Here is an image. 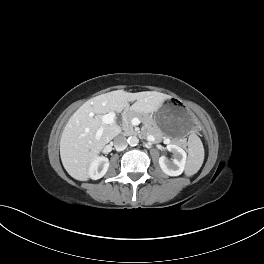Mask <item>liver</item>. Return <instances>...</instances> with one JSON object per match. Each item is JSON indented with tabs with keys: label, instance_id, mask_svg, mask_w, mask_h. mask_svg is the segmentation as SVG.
Masks as SVG:
<instances>
[{
	"label": "liver",
	"instance_id": "liver-1",
	"mask_svg": "<svg viewBox=\"0 0 264 264\" xmlns=\"http://www.w3.org/2000/svg\"><path fill=\"white\" fill-rule=\"evenodd\" d=\"M169 96L156 91L129 93L112 91L85 102L69 119L60 140V156L68 174L76 180L89 179L90 163L98 157L105 145L121 132L116 124H104L102 116L121 112L136 101L131 110L152 113L157 111ZM101 131V136L96 137Z\"/></svg>",
	"mask_w": 264,
	"mask_h": 264
}]
</instances>
